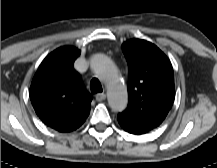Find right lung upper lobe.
<instances>
[{
  "instance_id": "1",
  "label": "right lung upper lobe",
  "mask_w": 217,
  "mask_h": 168,
  "mask_svg": "<svg viewBox=\"0 0 217 168\" xmlns=\"http://www.w3.org/2000/svg\"><path fill=\"white\" fill-rule=\"evenodd\" d=\"M80 50L64 46L40 64L30 87V99L39 118L59 132L79 128L90 113L92 96L73 68Z\"/></svg>"
}]
</instances>
